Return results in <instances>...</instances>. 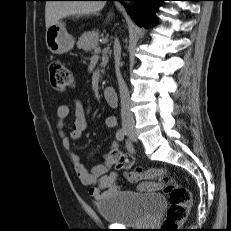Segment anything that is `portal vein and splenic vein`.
<instances>
[{"mask_svg": "<svg viewBox=\"0 0 231 231\" xmlns=\"http://www.w3.org/2000/svg\"><path fill=\"white\" fill-rule=\"evenodd\" d=\"M101 50H100V48H97V49H95V53H99Z\"/></svg>", "mask_w": 231, "mask_h": 231, "instance_id": "1", "label": "portal vein and splenic vein"}]
</instances>
